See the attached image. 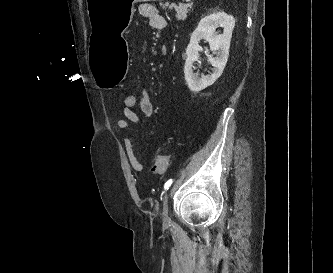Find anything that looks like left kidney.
Wrapping results in <instances>:
<instances>
[{
    "mask_svg": "<svg viewBox=\"0 0 333 273\" xmlns=\"http://www.w3.org/2000/svg\"><path fill=\"white\" fill-rule=\"evenodd\" d=\"M217 27L223 28L222 34L216 32ZM234 27L235 19L224 12L211 14L200 20L198 27L191 34L190 43L186 49L184 75L191 91H201L212 85L221 76L228 60ZM201 39L209 42L210 50L213 54H217V57L210 59L213 73L199 78L193 72V64L198 61L199 52L202 51V47L198 44Z\"/></svg>",
    "mask_w": 333,
    "mask_h": 273,
    "instance_id": "5707ae66",
    "label": "left kidney"
}]
</instances>
